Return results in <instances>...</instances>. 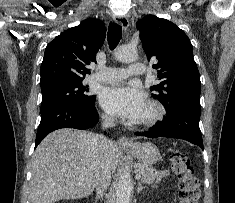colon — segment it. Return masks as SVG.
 <instances>
[{"label":"colon","mask_w":235,"mask_h":203,"mask_svg":"<svg viewBox=\"0 0 235 203\" xmlns=\"http://www.w3.org/2000/svg\"><path fill=\"white\" fill-rule=\"evenodd\" d=\"M170 161L172 171L178 179L180 203H199V182L189 158L179 151H174L170 155Z\"/></svg>","instance_id":"obj_1"}]
</instances>
